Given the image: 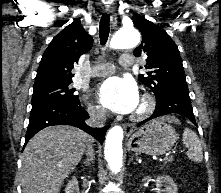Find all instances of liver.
Segmentation results:
<instances>
[{
    "label": "liver",
    "mask_w": 221,
    "mask_h": 193,
    "mask_svg": "<svg viewBox=\"0 0 221 193\" xmlns=\"http://www.w3.org/2000/svg\"><path fill=\"white\" fill-rule=\"evenodd\" d=\"M165 120L178 122L174 117ZM91 143L88 134L72 126H52L39 131L22 155L23 193H59L63 181Z\"/></svg>",
    "instance_id": "liver-1"
}]
</instances>
